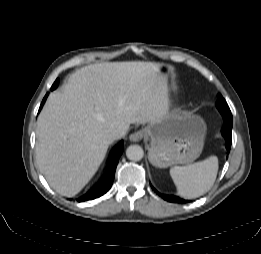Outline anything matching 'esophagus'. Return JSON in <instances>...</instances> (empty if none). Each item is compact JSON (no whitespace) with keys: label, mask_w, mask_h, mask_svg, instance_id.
I'll list each match as a JSON object with an SVG mask.
<instances>
[{"label":"esophagus","mask_w":261,"mask_h":254,"mask_svg":"<svg viewBox=\"0 0 261 254\" xmlns=\"http://www.w3.org/2000/svg\"><path fill=\"white\" fill-rule=\"evenodd\" d=\"M143 136H144L143 131L139 130V131H136V132L132 133L129 136V139L132 142H138V141H140L143 138Z\"/></svg>","instance_id":"1"}]
</instances>
